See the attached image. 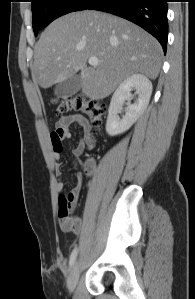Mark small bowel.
<instances>
[{"label":"small bowel","instance_id":"small-bowel-1","mask_svg":"<svg viewBox=\"0 0 195 299\" xmlns=\"http://www.w3.org/2000/svg\"><path fill=\"white\" fill-rule=\"evenodd\" d=\"M72 125H78L83 130V138L79 143L71 150V155L74 158L75 164L78 163L79 158L82 154L93 147L91 139V128L85 118L80 115H69L62 117L56 124V129L50 134V141L54 148V157L56 159L55 170L58 177L56 188L58 192L64 189V180L61 176V163H60V150L61 144L64 140H69L72 137L70 127ZM94 162L88 161L86 167L88 170L93 169ZM81 189V176L77 175V182L67 193L66 198L71 199L73 210L76 206L78 196ZM83 219L79 216L70 214L67 217L59 216V226L63 231L80 233L83 229Z\"/></svg>","mask_w":195,"mask_h":299}]
</instances>
